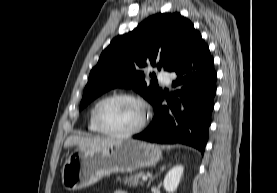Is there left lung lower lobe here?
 I'll return each mask as SVG.
<instances>
[{
	"label": "left lung lower lobe",
	"mask_w": 277,
	"mask_h": 193,
	"mask_svg": "<svg viewBox=\"0 0 277 193\" xmlns=\"http://www.w3.org/2000/svg\"><path fill=\"white\" fill-rule=\"evenodd\" d=\"M171 72L177 75L172 82L176 90L166 96L168 105H161L162 94L154 104L156 113L152 123L133 138L157 143H184L203 153L211 124L217 75L214 60L200 34Z\"/></svg>",
	"instance_id": "1"
}]
</instances>
